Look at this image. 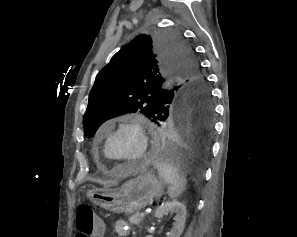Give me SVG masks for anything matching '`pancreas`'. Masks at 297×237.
I'll return each mask as SVG.
<instances>
[{
  "label": "pancreas",
  "instance_id": "1",
  "mask_svg": "<svg viewBox=\"0 0 297 237\" xmlns=\"http://www.w3.org/2000/svg\"><path fill=\"white\" fill-rule=\"evenodd\" d=\"M144 216H141V214L139 212H136L134 215H132L129 218V221L131 224H135V225H139L141 223V221L143 220Z\"/></svg>",
  "mask_w": 297,
  "mask_h": 237
}]
</instances>
